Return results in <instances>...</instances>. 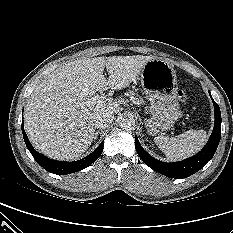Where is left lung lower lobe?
I'll return each instance as SVG.
<instances>
[{
  "label": "left lung lower lobe",
  "instance_id": "1",
  "mask_svg": "<svg viewBox=\"0 0 233 233\" xmlns=\"http://www.w3.org/2000/svg\"><path fill=\"white\" fill-rule=\"evenodd\" d=\"M210 94V93H209ZM211 96V94H210ZM212 98V97H211ZM215 111V124L213 132L205 147L196 155L179 162L165 163L153 158L140 145L135 137V147L143 162L155 170L170 178H186L199 171L211 160L218 147L221 137V112L218 104L212 99Z\"/></svg>",
  "mask_w": 233,
  "mask_h": 233
}]
</instances>
